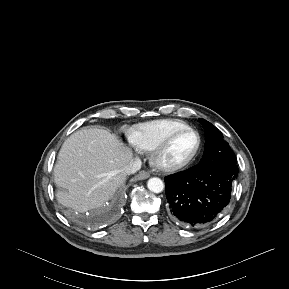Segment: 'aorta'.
<instances>
[{
  "label": "aorta",
  "mask_w": 289,
  "mask_h": 289,
  "mask_svg": "<svg viewBox=\"0 0 289 289\" xmlns=\"http://www.w3.org/2000/svg\"><path fill=\"white\" fill-rule=\"evenodd\" d=\"M147 187L153 193H161L164 189V183L160 178L153 177L148 180Z\"/></svg>",
  "instance_id": "762f6f07"
}]
</instances>
